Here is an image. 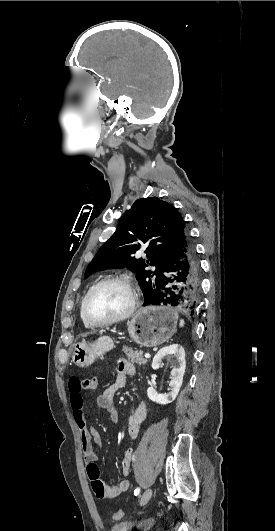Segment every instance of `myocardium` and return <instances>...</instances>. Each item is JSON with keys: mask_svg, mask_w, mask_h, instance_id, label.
I'll list each match as a JSON object with an SVG mask.
<instances>
[{"mask_svg": "<svg viewBox=\"0 0 275 531\" xmlns=\"http://www.w3.org/2000/svg\"><path fill=\"white\" fill-rule=\"evenodd\" d=\"M109 283H120V284L125 285L130 290L131 296H132L130 307L125 313H123L120 316H117V317H114L108 320H103V321L92 320L86 314V303L89 297L93 294V292H95L101 286L105 284H109ZM138 303H139V290L134 285V283L131 281L129 277L123 276V275L108 276L98 281L97 283H95L83 297L82 302H81V308H80L81 317L83 321L90 326H93V327L108 326V325H112V324L124 321L128 319L129 317H131L133 313L135 312L138 306Z\"/></svg>", "mask_w": 275, "mask_h": 531, "instance_id": "1", "label": "myocardium"}]
</instances>
